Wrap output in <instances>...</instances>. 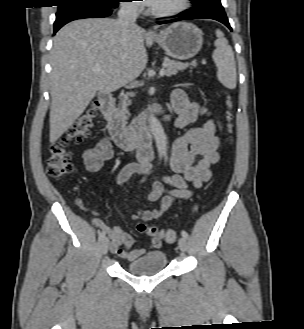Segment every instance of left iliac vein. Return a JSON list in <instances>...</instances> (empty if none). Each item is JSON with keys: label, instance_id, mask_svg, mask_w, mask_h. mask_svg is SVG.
I'll return each instance as SVG.
<instances>
[{"label": "left iliac vein", "instance_id": "4c4485c4", "mask_svg": "<svg viewBox=\"0 0 304 329\" xmlns=\"http://www.w3.org/2000/svg\"><path fill=\"white\" fill-rule=\"evenodd\" d=\"M178 247L181 251H186L187 249V240L184 237H181L178 241Z\"/></svg>", "mask_w": 304, "mask_h": 329}]
</instances>
